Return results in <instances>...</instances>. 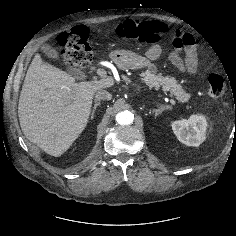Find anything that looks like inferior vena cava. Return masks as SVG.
<instances>
[{
    "mask_svg": "<svg viewBox=\"0 0 236 236\" xmlns=\"http://www.w3.org/2000/svg\"><path fill=\"white\" fill-rule=\"evenodd\" d=\"M112 95L106 90H98L95 94V99L100 100H111Z\"/></svg>",
    "mask_w": 236,
    "mask_h": 236,
    "instance_id": "602c4592",
    "label": "inferior vena cava"
}]
</instances>
